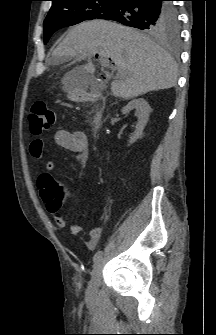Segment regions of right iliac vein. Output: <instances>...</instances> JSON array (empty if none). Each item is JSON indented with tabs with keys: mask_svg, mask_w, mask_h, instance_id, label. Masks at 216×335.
<instances>
[{
	"mask_svg": "<svg viewBox=\"0 0 216 335\" xmlns=\"http://www.w3.org/2000/svg\"><path fill=\"white\" fill-rule=\"evenodd\" d=\"M103 262H104V258L101 257L100 260L94 265V268L92 270L91 280L88 284V288L86 291L87 297H92L97 290L100 271H101Z\"/></svg>",
	"mask_w": 216,
	"mask_h": 335,
	"instance_id": "63e3f726",
	"label": "right iliac vein"
}]
</instances>
